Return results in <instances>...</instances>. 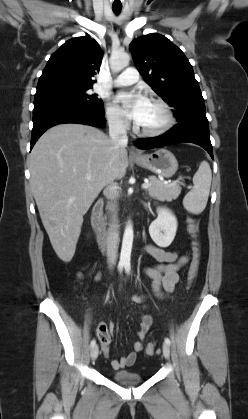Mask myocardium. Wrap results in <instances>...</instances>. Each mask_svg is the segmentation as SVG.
<instances>
[{
	"label": "myocardium",
	"instance_id": "myocardium-1",
	"mask_svg": "<svg viewBox=\"0 0 248 419\" xmlns=\"http://www.w3.org/2000/svg\"><path fill=\"white\" fill-rule=\"evenodd\" d=\"M150 102L156 104L161 108L164 113V122L153 129L141 128L139 125L135 126V130L138 134L145 137H157L168 132L175 123V116L170 105L161 98L153 97L150 99Z\"/></svg>",
	"mask_w": 248,
	"mask_h": 419
}]
</instances>
